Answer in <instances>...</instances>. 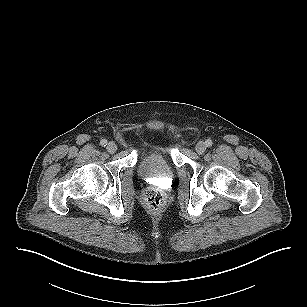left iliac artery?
<instances>
[{
  "instance_id": "1",
  "label": "left iliac artery",
  "mask_w": 307,
  "mask_h": 307,
  "mask_svg": "<svg viewBox=\"0 0 307 307\" xmlns=\"http://www.w3.org/2000/svg\"><path fill=\"white\" fill-rule=\"evenodd\" d=\"M205 143H206V146H207V147H211L212 144H213L212 140H210V139L206 140Z\"/></svg>"
}]
</instances>
